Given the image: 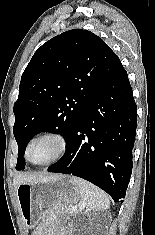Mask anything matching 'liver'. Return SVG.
I'll return each mask as SVG.
<instances>
[{"mask_svg": "<svg viewBox=\"0 0 155 235\" xmlns=\"http://www.w3.org/2000/svg\"><path fill=\"white\" fill-rule=\"evenodd\" d=\"M55 177L57 176L46 173H18L14 176V186L17 189L20 184L46 181Z\"/></svg>", "mask_w": 155, "mask_h": 235, "instance_id": "obj_1", "label": "liver"}]
</instances>
